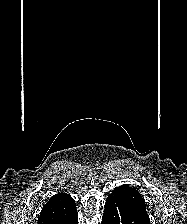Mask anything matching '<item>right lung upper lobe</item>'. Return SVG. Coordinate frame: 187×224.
I'll use <instances>...</instances> for the list:
<instances>
[{
	"label": "right lung upper lobe",
	"instance_id": "right-lung-upper-lobe-1",
	"mask_svg": "<svg viewBox=\"0 0 187 224\" xmlns=\"http://www.w3.org/2000/svg\"><path fill=\"white\" fill-rule=\"evenodd\" d=\"M75 210V201L70 195L56 194L44 205L38 224H58L70 217Z\"/></svg>",
	"mask_w": 187,
	"mask_h": 224
}]
</instances>
